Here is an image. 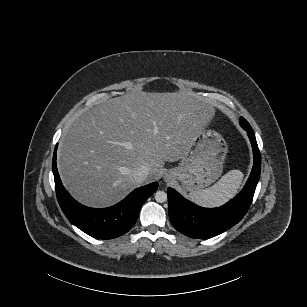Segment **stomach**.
<instances>
[{
  "instance_id": "0dacf381",
  "label": "stomach",
  "mask_w": 307,
  "mask_h": 307,
  "mask_svg": "<svg viewBox=\"0 0 307 307\" xmlns=\"http://www.w3.org/2000/svg\"><path fill=\"white\" fill-rule=\"evenodd\" d=\"M227 152V143L218 132L201 131L175 168V179L191 192L210 186L221 176Z\"/></svg>"
}]
</instances>
